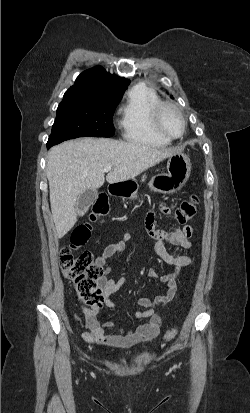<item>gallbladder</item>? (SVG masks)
<instances>
[{"mask_svg":"<svg viewBox=\"0 0 250 413\" xmlns=\"http://www.w3.org/2000/svg\"><path fill=\"white\" fill-rule=\"evenodd\" d=\"M97 194L96 189H88L80 195L76 204L77 212L80 216L84 215L89 206L93 204L97 198Z\"/></svg>","mask_w":250,"mask_h":413,"instance_id":"gallbladder-1","label":"gallbladder"}]
</instances>
